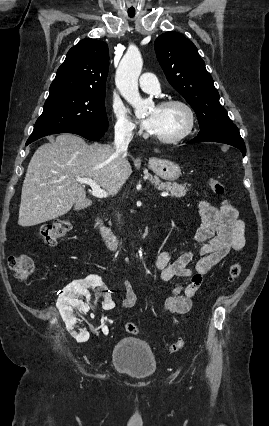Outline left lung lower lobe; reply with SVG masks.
I'll return each mask as SVG.
<instances>
[{
  "mask_svg": "<svg viewBox=\"0 0 269 426\" xmlns=\"http://www.w3.org/2000/svg\"><path fill=\"white\" fill-rule=\"evenodd\" d=\"M213 141L232 145L242 152L243 156L246 154V147L243 139L240 136L239 130L236 125H231L219 130L214 131L212 134H201L189 141V143Z\"/></svg>",
  "mask_w": 269,
  "mask_h": 426,
  "instance_id": "left-lung-lower-lobe-1",
  "label": "left lung lower lobe"
}]
</instances>
